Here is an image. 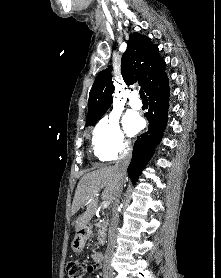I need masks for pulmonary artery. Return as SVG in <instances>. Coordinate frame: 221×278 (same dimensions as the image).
<instances>
[{
	"instance_id": "obj_1",
	"label": "pulmonary artery",
	"mask_w": 221,
	"mask_h": 278,
	"mask_svg": "<svg viewBox=\"0 0 221 278\" xmlns=\"http://www.w3.org/2000/svg\"><path fill=\"white\" fill-rule=\"evenodd\" d=\"M129 105L135 110H139L142 108V102L138 98V93L136 91H134L130 94Z\"/></svg>"
}]
</instances>
